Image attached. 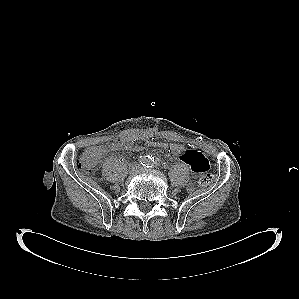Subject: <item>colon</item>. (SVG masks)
Returning <instances> with one entry per match:
<instances>
[{"label":"colon","mask_w":299,"mask_h":299,"mask_svg":"<svg viewBox=\"0 0 299 299\" xmlns=\"http://www.w3.org/2000/svg\"><path fill=\"white\" fill-rule=\"evenodd\" d=\"M149 148H162L170 150L176 154H181L183 146L178 143L166 142V141H146L144 143L132 144L128 146L122 139L112 142L105 146L91 147L81 152L77 167L86 173H92L96 169L99 158L105 152L110 151H133L140 152ZM213 182V176L209 173L204 174L199 179V184L202 187H208Z\"/></svg>","instance_id":"5ec220e1"}]
</instances>
